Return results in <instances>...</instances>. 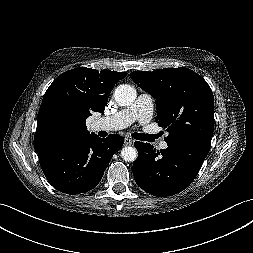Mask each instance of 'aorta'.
<instances>
[{
    "label": "aorta",
    "mask_w": 253,
    "mask_h": 253,
    "mask_svg": "<svg viewBox=\"0 0 253 253\" xmlns=\"http://www.w3.org/2000/svg\"><path fill=\"white\" fill-rule=\"evenodd\" d=\"M136 90L128 84L119 85L114 92L116 102L121 106H129L136 99ZM138 156L137 150L134 147L126 146L121 151V157L128 162H133Z\"/></svg>",
    "instance_id": "1"
}]
</instances>
